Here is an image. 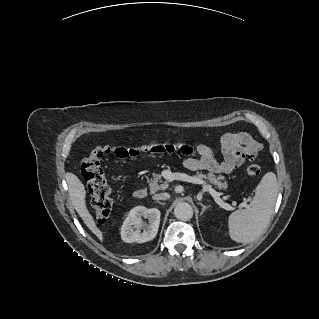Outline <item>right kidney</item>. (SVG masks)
I'll use <instances>...</instances> for the list:
<instances>
[{
	"instance_id": "right-kidney-1",
	"label": "right kidney",
	"mask_w": 319,
	"mask_h": 319,
	"mask_svg": "<svg viewBox=\"0 0 319 319\" xmlns=\"http://www.w3.org/2000/svg\"><path fill=\"white\" fill-rule=\"evenodd\" d=\"M160 216L157 208L134 207L121 227L122 240L129 243H144L154 239L158 232ZM142 218H147L149 223L143 222Z\"/></svg>"
}]
</instances>
